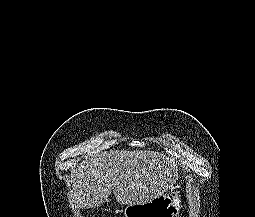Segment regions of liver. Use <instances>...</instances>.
<instances>
[{
	"label": "liver",
	"instance_id": "6515ba94",
	"mask_svg": "<svg viewBox=\"0 0 255 217\" xmlns=\"http://www.w3.org/2000/svg\"><path fill=\"white\" fill-rule=\"evenodd\" d=\"M70 205H102L113 191L121 205L144 204L168 191L178 178L177 163L151 150H110L85 159L73 174Z\"/></svg>",
	"mask_w": 255,
	"mask_h": 217
}]
</instances>
